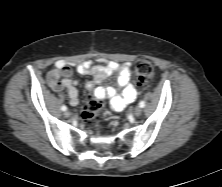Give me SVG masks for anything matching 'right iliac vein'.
<instances>
[{
	"instance_id": "1",
	"label": "right iliac vein",
	"mask_w": 222,
	"mask_h": 187,
	"mask_svg": "<svg viewBox=\"0 0 222 187\" xmlns=\"http://www.w3.org/2000/svg\"><path fill=\"white\" fill-rule=\"evenodd\" d=\"M70 115H71V114H70V112H69V111H65V112H64V116H65V117H67V118H68V117H70Z\"/></svg>"
}]
</instances>
